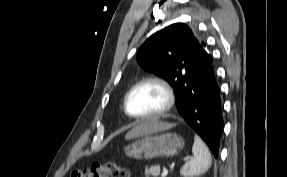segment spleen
Here are the masks:
<instances>
[{
    "mask_svg": "<svg viewBox=\"0 0 287 177\" xmlns=\"http://www.w3.org/2000/svg\"><path fill=\"white\" fill-rule=\"evenodd\" d=\"M192 153L193 158L186 162L180 170L181 175L184 177L199 176L206 172L211 166V154L207 146L197 135L194 136Z\"/></svg>",
    "mask_w": 287,
    "mask_h": 177,
    "instance_id": "spleen-1",
    "label": "spleen"
}]
</instances>
